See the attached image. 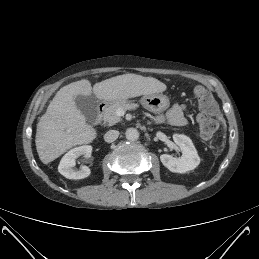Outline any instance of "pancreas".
Listing matches in <instances>:
<instances>
[{
	"label": "pancreas",
	"mask_w": 259,
	"mask_h": 259,
	"mask_svg": "<svg viewBox=\"0 0 259 259\" xmlns=\"http://www.w3.org/2000/svg\"><path fill=\"white\" fill-rule=\"evenodd\" d=\"M138 107V104L135 103H120L113 104L109 106L102 114L104 123H107L109 126H112L121 121V117L117 115V111L121 110H133Z\"/></svg>",
	"instance_id": "cf45deb5"
}]
</instances>
